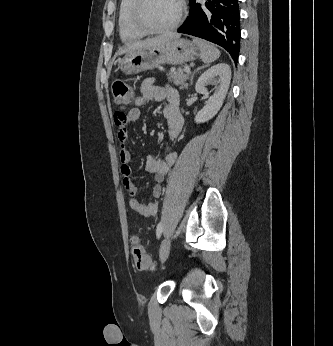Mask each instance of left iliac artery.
Returning a JSON list of instances; mask_svg holds the SVG:
<instances>
[{"label": "left iliac artery", "instance_id": "left-iliac-artery-1", "mask_svg": "<svg viewBox=\"0 0 333 346\" xmlns=\"http://www.w3.org/2000/svg\"><path fill=\"white\" fill-rule=\"evenodd\" d=\"M162 230H163V223L159 222V224L157 225V229H156V234H157L158 238L160 237Z\"/></svg>", "mask_w": 333, "mask_h": 346}]
</instances>
